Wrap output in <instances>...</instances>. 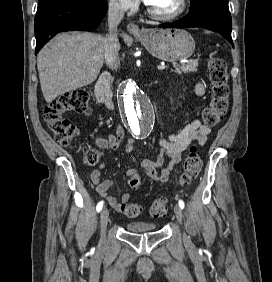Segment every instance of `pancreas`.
<instances>
[{
    "mask_svg": "<svg viewBox=\"0 0 272 282\" xmlns=\"http://www.w3.org/2000/svg\"><path fill=\"white\" fill-rule=\"evenodd\" d=\"M197 66L198 61L193 60L187 64H182L181 66L176 65L174 72L177 74L195 72L197 70Z\"/></svg>",
    "mask_w": 272,
    "mask_h": 282,
    "instance_id": "obj_1",
    "label": "pancreas"
}]
</instances>
